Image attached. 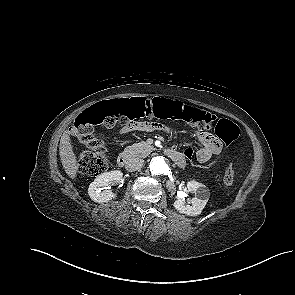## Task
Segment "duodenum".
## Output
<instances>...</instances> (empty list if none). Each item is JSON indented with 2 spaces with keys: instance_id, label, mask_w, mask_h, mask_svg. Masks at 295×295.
<instances>
[{
  "instance_id": "obj_1",
  "label": "duodenum",
  "mask_w": 295,
  "mask_h": 295,
  "mask_svg": "<svg viewBox=\"0 0 295 295\" xmlns=\"http://www.w3.org/2000/svg\"><path fill=\"white\" fill-rule=\"evenodd\" d=\"M166 154L177 165H179V166L184 165V157L182 156V154L180 152L175 151V150H167ZM130 160H131L130 153L122 152L117 157V164H118V166L123 167V166L127 165L130 162Z\"/></svg>"
}]
</instances>
